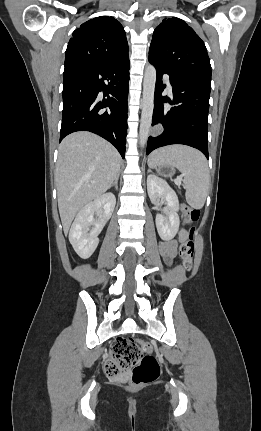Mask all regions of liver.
<instances>
[{
	"instance_id": "6515ba94",
	"label": "liver",
	"mask_w": 261,
	"mask_h": 431,
	"mask_svg": "<svg viewBox=\"0 0 261 431\" xmlns=\"http://www.w3.org/2000/svg\"><path fill=\"white\" fill-rule=\"evenodd\" d=\"M120 162L121 156L115 147L98 135L80 131L63 139L55 182L65 234L76 214L110 188L118 175Z\"/></svg>"
}]
</instances>
